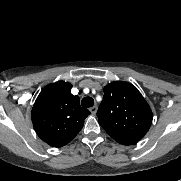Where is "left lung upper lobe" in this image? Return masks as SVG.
<instances>
[{
	"mask_svg": "<svg viewBox=\"0 0 181 181\" xmlns=\"http://www.w3.org/2000/svg\"><path fill=\"white\" fill-rule=\"evenodd\" d=\"M103 90L104 98L97 111L99 124L118 143L136 144L151 126L150 106L129 82L114 81Z\"/></svg>",
	"mask_w": 181,
	"mask_h": 181,
	"instance_id": "5c2ea615",
	"label": "left lung upper lobe"
}]
</instances>
